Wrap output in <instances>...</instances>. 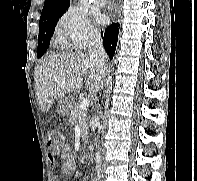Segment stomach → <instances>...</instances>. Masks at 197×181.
Wrapping results in <instances>:
<instances>
[{
	"label": "stomach",
	"instance_id": "1",
	"mask_svg": "<svg viewBox=\"0 0 197 181\" xmlns=\"http://www.w3.org/2000/svg\"><path fill=\"white\" fill-rule=\"evenodd\" d=\"M73 105V101L69 97L60 98L57 112L61 115H67Z\"/></svg>",
	"mask_w": 197,
	"mask_h": 181
}]
</instances>
